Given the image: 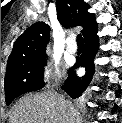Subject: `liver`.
<instances>
[{
	"mask_svg": "<svg viewBox=\"0 0 122 123\" xmlns=\"http://www.w3.org/2000/svg\"><path fill=\"white\" fill-rule=\"evenodd\" d=\"M78 110L64 96L51 91L21 98L9 123H81Z\"/></svg>",
	"mask_w": 122,
	"mask_h": 123,
	"instance_id": "liver-1",
	"label": "liver"
}]
</instances>
